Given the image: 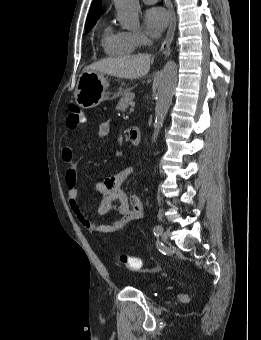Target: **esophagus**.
I'll list each match as a JSON object with an SVG mask.
<instances>
[{"instance_id":"1","label":"esophagus","mask_w":261,"mask_h":340,"mask_svg":"<svg viewBox=\"0 0 261 340\" xmlns=\"http://www.w3.org/2000/svg\"><path fill=\"white\" fill-rule=\"evenodd\" d=\"M169 14H170V25L167 31L166 38L164 42L162 43L159 52H166L170 50V45L172 43L174 32L176 28V16L173 9L172 4L170 3L168 6Z\"/></svg>"}]
</instances>
